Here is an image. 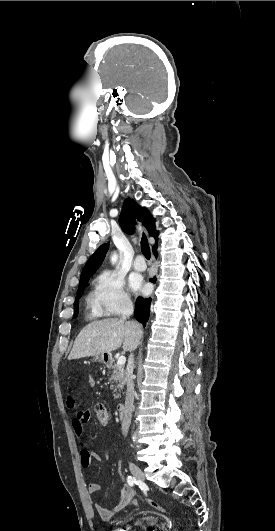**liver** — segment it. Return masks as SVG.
Masks as SVG:
<instances>
[{
    "label": "liver",
    "mask_w": 275,
    "mask_h": 531,
    "mask_svg": "<svg viewBox=\"0 0 275 531\" xmlns=\"http://www.w3.org/2000/svg\"><path fill=\"white\" fill-rule=\"evenodd\" d=\"M142 335V325L136 321L124 319H103V321H93L86 325L76 337L68 357L71 359H82V357H93L99 353H110L119 349L123 343V351H134Z\"/></svg>",
    "instance_id": "1"
}]
</instances>
